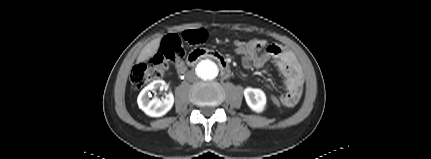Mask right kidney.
Masks as SVG:
<instances>
[{
  "label": "right kidney",
  "instance_id": "obj_1",
  "mask_svg": "<svg viewBox=\"0 0 431 159\" xmlns=\"http://www.w3.org/2000/svg\"><path fill=\"white\" fill-rule=\"evenodd\" d=\"M166 83L163 80H155L146 86L138 95L137 103L140 109L145 114L151 117H161L165 115L174 104V96L169 93L165 98L159 99L154 97L150 99L151 91L155 92L158 89L163 90L166 88Z\"/></svg>",
  "mask_w": 431,
  "mask_h": 159
}]
</instances>
